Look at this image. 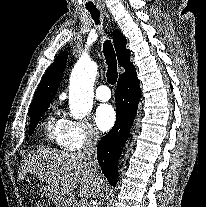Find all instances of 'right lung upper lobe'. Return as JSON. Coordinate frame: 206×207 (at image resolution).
<instances>
[{
	"label": "right lung upper lobe",
	"mask_w": 206,
	"mask_h": 207,
	"mask_svg": "<svg viewBox=\"0 0 206 207\" xmlns=\"http://www.w3.org/2000/svg\"><path fill=\"white\" fill-rule=\"evenodd\" d=\"M113 42L119 64L124 67L125 72L129 71L134 66L130 62V52L126 49V38L119 30L113 31ZM67 58L68 52H62L48 68L37 88L30 110L49 104L53 100L61 82Z\"/></svg>",
	"instance_id": "obj_1"
}]
</instances>
